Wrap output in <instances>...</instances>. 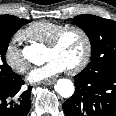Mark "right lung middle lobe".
<instances>
[{"mask_svg": "<svg viewBox=\"0 0 116 116\" xmlns=\"http://www.w3.org/2000/svg\"><path fill=\"white\" fill-rule=\"evenodd\" d=\"M28 22L25 19L16 22L0 20V85L11 83L18 77L6 63L5 54L12 35Z\"/></svg>", "mask_w": 116, "mask_h": 116, "instance_id": "dd1d6c3e", "label": "right lung middle lobe"}]
</instances>
